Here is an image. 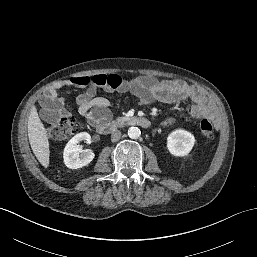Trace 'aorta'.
I'll return each mask as SVG.
<instances>
[{"label": "aorta", "instance_id": "aorta-1", "mask_svg": "<svg viewBox=\"0 0 257 257\" xmlns=\"http://www.w3.org/2000/svg\"><path fill=\"white\" fill-rule=\"evenodd\" d=\"M141 135V131L138 127H130L128 129V136L132 139H137Z\"/></svg>", "mask_w": 257, "mask_h": 257}]
</instances>
